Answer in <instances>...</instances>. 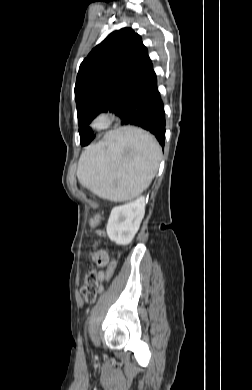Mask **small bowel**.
<instances>
[{"mask_svg": "<svg viewBox=\"0 0 252 390\" xmlns=\"http://www.w3.org/2000/svg\"><path fill=\"white\" fill-rule=\"evenodd\" d=\"M91 224H92L93 226H97V225H95V223L93 222V220L91 221ZM102 233H103V232H102ZM93 259L96 261V263H97L100 267L106 266V265L108 264V262H109V256H108V254H107L105 251H101V252H99V253L93 254ZM111 273H112L111 270L107 271L106 273L103 272V271H99L98 277H99V280H100V282H101V285H100L99 290H98L99 293H102V292H103V289H104V288H103L102 283H103L104 281H108V280L110 279Z\"/></svg>", "mask_w": 252, "mask_h": 390, "instance_id": "small-bowel-1", "label": "small bowel"}]
</instances>
